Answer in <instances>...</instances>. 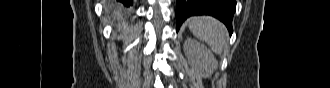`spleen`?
<instances>
[{
  "instance_id": "1",
  "label": "spleen",
  "mask_w": 330,
  "mask_h": 88,
  "mask_svg": "<svg viewBox=\"0 0 330 88\" xmlns=\"http://www.w3.org/2000/svg\"><path fill=\"white\" fill-rule=\"evenodd\" d=\"M188 26L196 38L207 43L214 53L221 55L227 44L226 28L221 22L209 16L191 17Z\"/></svg>"
}]
</instances>
